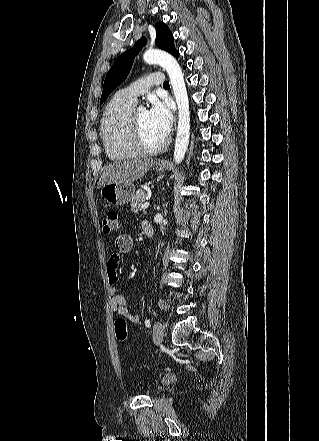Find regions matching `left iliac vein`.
Here are the masks:
<instances>
[{"instance_id": "obj_1", "label": "left iliac vein", "mask_w": 319, "mask_h": 441, "mask_svg": "<svg viewBox=\"0 0 319 441\" xmlns=\"http://www.w3.org/2000/svg\"><path fill=\"white\" fill-rule=\"evenodd\" d=\"M164 326L161 322L156 321L153 326V340L156 344H159L163 340Z\"/></svg>"}]
</instances>
